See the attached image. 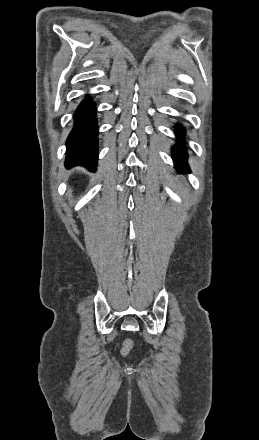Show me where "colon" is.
<instances>
[{
	"mask_svg": "<svg viewBox=\"0 0 259 440\" xmlns=\"http://www.w3.org/2000/svg\"><path fill=\"white\" fill-rule=\"evenodd\" d=\"M132 347H133L132 342L130 340H126L125 343H124V346L122 348V354L123 355H128L129 352L131 351Z\"/></svg>",
	"mask_w": 259,
	"mask_h": 440,
	"instance_id": "colon-1",
	"label": "colon"
}]
</instances>
